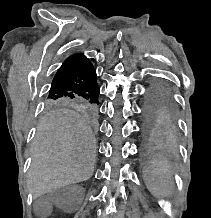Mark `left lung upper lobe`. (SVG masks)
I'll return each mask as SVG.
<instances>
[{"mask_svg":"<svg viewBox=\"0 0 211 218\" xmlns=\"http://www.w3.org/2000/svg\"><path fill=\"white\" fill-rule=\"evenodd\" d=\"M144 115L149 129H155L162 122L173 120L175 108L164 86L160 84L151 86L147 94Z\"/></svg>","mask_w":211,"mask_h":218,"instance_id":"obj_1","label":"left lung upper lobe"}]
</instances>
